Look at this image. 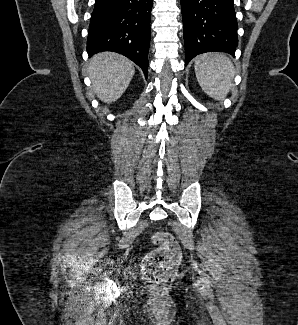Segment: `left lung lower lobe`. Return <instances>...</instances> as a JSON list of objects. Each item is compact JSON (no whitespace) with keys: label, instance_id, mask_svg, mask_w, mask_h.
I'll list each match as a JSON object with an SVG mask.
<instances>
[{"label":"left lung lower lobe","instance_id":"obj_1","mask_svg":"<svg viewBox=\"0 0 298 325\" xmlns=\"http://www.w3.org/2000/svg\"><path fill=\"white\" fill-rule=\"evenodd\" d=\"M185 42V64L210 51L235 56L238 45L233 0H180Z\"/></svg>","mask_w":298,"mask_h":325}]
</instances>
